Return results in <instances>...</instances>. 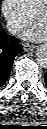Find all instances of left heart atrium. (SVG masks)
Masks as SVG:
<instances>
[{
  "label": "left heart atrium",
  "mask_w": 47,
  "mask_h": 129,
  "mask_svg": "<svg viewBox=\"0 0 47 129\" xmlns=\"http://www.w3.org/2000/svg\"><path fill=\"white\" fill-rule=\"evenodd\" d=\"M47 34L46 26L40 22L35 23L22 34L23 38L32 41H41L45 39Z\"/></svg>",
  "instance_id": "39dd6f15"
}]
</instances>
